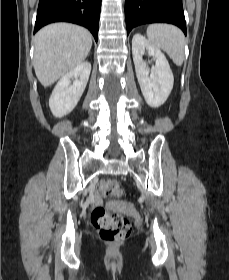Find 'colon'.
<instances>
[{
	"label": "colon",
	"mask_w": 229,
	"mask_h": 280,
	"mask_svg": "<svg viewBox=\"0 0 229 280\" xmlns=\"http://www.w3.org/2000/svg\"><path fill=\"white\" fill-rule=\"evenodd\" d=\"M100 190L107 197L120 196L123 193L119 183L109 179L101 181ZM127 210L134 215L137 214V211L132 206H128ZM91 221L98 230L101 239L106 242L123 239L131 231L129 222L124 216L109 213L103 206H97L92 210Z\"/></svg>",
	"instance_id": "colon-1"
}]
</instances>
